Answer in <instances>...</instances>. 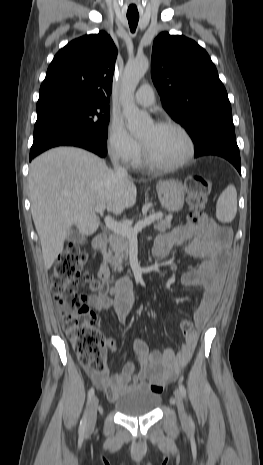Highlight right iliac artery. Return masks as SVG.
Here are the masks:
<instances>
[{
	"mask_svg": "<svg viewBox=\"0 0 263 465\" xmlns=\"http://www.w3.org/2000/svg\"><path fill=\"white\" fill-rule=\"evenodd\" d=\"M94 395V389L91 388L89 391H88V399H87V408L85 410V413L81 419V422H80V426H79V434L80 435H83L84 432H85V429H86V426H87V412H88V406L91 402V399Z\"/></svg>",
	"mask_w": 263,
	"mask_h": 465,
	"instance_id": "82829eb1",
	"label": "right iliac artery"
}]
</instances>
